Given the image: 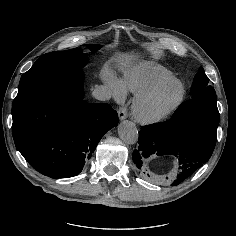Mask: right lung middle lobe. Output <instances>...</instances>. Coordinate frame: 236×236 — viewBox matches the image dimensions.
I'll use <instances>...</instances> for the list:
<instances>
[{
    "instance_id": "obj_1",
    "label": "right lung middle lobe",
    "mask_w": 236,
    "mask_h": 236,
    "mask_svg": "<svg viewBox=\"0 0 236 236\" xmlns=\"http://www.w3.org/2000/svg\"><path fill=\"white\" fill-rule=\"evenodd\" d=\"M87 47L92 51L101 48L97 44H88ZM87 61L88 56L81 49L47 53L36 60L33 66L22 75L19 90L36 81L82 69Z\"/></svg>"
}]
</instances>
